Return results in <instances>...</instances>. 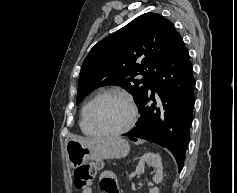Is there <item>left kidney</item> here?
Returning <instances> with one entry per match:
<instances>
[{
	"label": "left kidney",
	"instance_id": "5707ae66",
	"mask_svg": "<svg viewBox=\"0 0 237 193\" xmlns=\"http://www.w3.org/2000/svg\"><path fill=\"white\" fill-rule=\"evenodd\" d=\"M147 163L150 166L155 168V175L153 181L158 184L163 180V166L161 157L158 154L151 152L145 153L139 160L138 165L136 166L135 172L131 173L129 179L135 177L136 174H141L144 164ZM150 193H159V189L154 187L150 190Z\"/></svg>",
	"mask_w": 237,
	"mask_h": 193
}]
</instances>
